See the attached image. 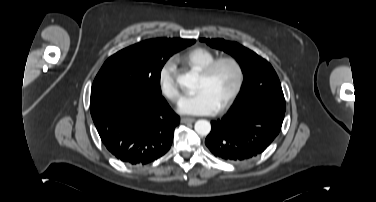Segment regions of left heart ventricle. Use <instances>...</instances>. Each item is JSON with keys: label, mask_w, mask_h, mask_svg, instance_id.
<instances>
[{"label": "left heart ventricle", "mask_w": 376, "mask_h": 202, "mask_svg": "<svg viewBox=\"0 0 376 202\" xmlns=\"http://www.w3.org/2000/svg\"><path fill=\"white\" fill-rule=\"evenodd\" d=\"M236 82V73L230 64L220 65L210 78L199 76L197 89L207 88L221 106L231 93Z\"/></svg>", "instance_id": "b2bd125f"}]
</instances>
